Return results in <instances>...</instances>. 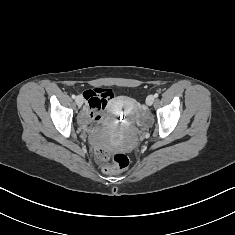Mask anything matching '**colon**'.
<instances>
[{
	"instance_id": "1",
	"label": "colon",
	"mask_w": 235,
	"mask_h": 235,
	"mask_svg": "<svg viewBox=\"0 0 235 235\" xmlns=\"http://www.w3.org/2000/svg\"><path fill=\"white\" fill-rule=\"evenodd\" d=\"M112 97V92L106 90V93L102 95L101 103L105 105L107 101ZM97 160L100 163H103L102 170L105 173H114L121 170H124L128 167L130 160L125 154H116L113 156L112 161L108 163L109 156L106 151L98 150L97 151Z\"/></svg>"
}]
</instances>
